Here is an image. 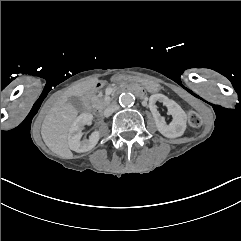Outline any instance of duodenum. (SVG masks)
<instances>
[{
  "instance_id": "1",
  "label": "duodenum",
  "mask_w": 241,
  "mask_h": 241,
  "mask_svg": "<svg viewBox=\"0 0 241 241\" xmlns=\"http://www.w3.org/2000/svg\"><path fill=\"white\" fill-rule=\"evenodd\" d=\"M101 86V83H96L93 87V90L98 89ZM121 93H133L137 95L138 97H143L144 96V91L142 88L138 86H125L117 90L116 94H121ZM96 113L100 112L99 108L95 109Z\"/></svg>"
}]
</instances>
